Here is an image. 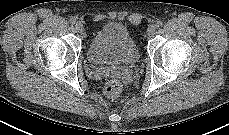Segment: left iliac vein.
<instances>
[{
	"label": "left iliac vein",
	"instance_id": "1",
	"mask_svg": "<svg viewBox=\"0 0 229 135\" xmlns=\"http://www.w3.org/2000/svg\"><path fill=\"white\" fill-rule=\"evenodd\" d=\"M156 30H157V26L152 24L148 27L147 29V35L148 36H153L155 33H156Z\"/></svg>",
	"mask_w": 229,
	"mask_h": 135
}]
</instances>
